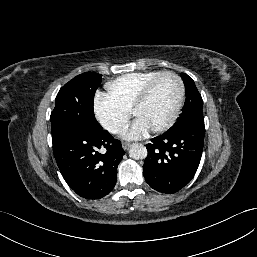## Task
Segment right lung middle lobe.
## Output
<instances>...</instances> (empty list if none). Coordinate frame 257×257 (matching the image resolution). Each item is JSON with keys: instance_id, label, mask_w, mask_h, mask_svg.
Here are the masks:
<instances>
[{"instance_id": "dd1d6c3e", "label": "right lung middle lobe", "mask_w": 257, "mask_h": 257, "mask_svg": "<svg viewBox=\"0 0 257 257\" xmlns=\"http://www.w3.org/2000/svg\"><path fill=\"white\" fill-rule=\"evenodd\" d=\"M101 74L85 72L66 83L58 92L51 113L52 142L67 133L103 131L94 111V95L101 83Z\"/></svg>"}]
</instances>
